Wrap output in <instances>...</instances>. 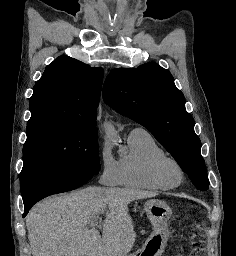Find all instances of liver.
Segmentation results:
<instances>
[{"instance_id": "1", "label": "liver", "mask_w": 236, "mask_h": 256, "mask_svg": "<svg viewBox=\"0 0 236 256\" xmlns=\"http://www.w3.org/2000/svg\"><path fill=\"white\" fill-rule=\"evenodd\" d=\"M156 192L128 188H85L51 196L26 216L32 256H126L136 234L128 204ZM105 214L102 236L87 222Z\"/></svg>"}]
</instances>
